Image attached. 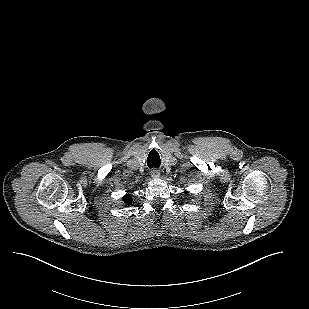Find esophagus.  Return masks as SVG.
Wrapping results in <instances>:
<instances>
[{
  "label": "esophagus",
  "instance_id": "1",
  "mask_svg": "<svg viewBox=\"0 0 309 309\" xmlns=\"http://www.w3.org/2000/svg\"><path fill=\"white\" fill-rule=\"evenodd\" d=\"M151 176L153 178H159L160 177V172L158 170L154 169V170L151 171Z\"/></svg>",
  "mask_w": 309,
  "mask_h": 309
}]
</instances>
